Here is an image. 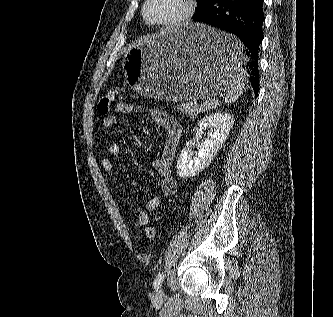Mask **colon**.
<instances>
[{"instance_id": "obj_1", "label": "colon", "mask_w": 333, "mask_h": 317, "mask_svg": "<svg viewBox=\"0 0 333 317\" xmlns=\"http://www.w3.org/2000/svg\"><path fill=\"white\" fill-rule=\"evenodd\" d=\"M118 93H119L118 89H112L101 97L97 106L99 113L105 115L109 112ZM145 234L146 237L151 241H154L157 238L156 229L152 226H148L145 229Z\"/></svg>"}]
</instances>
